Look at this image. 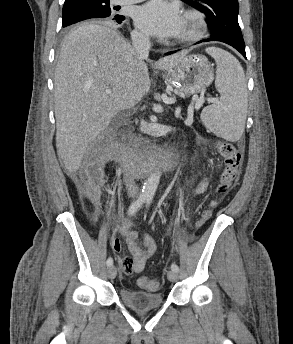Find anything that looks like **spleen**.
Listing matches in <instances>:
<instances>
[{
	"mask_svg": "<svg viewBox=\"0 0 293 344\" xmlns=\"http://www.w3.org/2000/svg\"><path fill=\"white\" fill-rule=\"evenodd\" d=\"M216 62L215 87L219 101L203 109L202 123L217 136L228 141L241 138L247 113V88L245 74L239 61L229 52L210 47L206 49Z\"/></svg>",
	"mask_w": 293,
	"mask_h": 344,
	"instance_id": "1",
	"label": "spleen"
}]
</instances>
